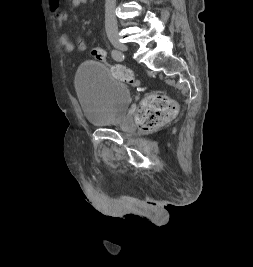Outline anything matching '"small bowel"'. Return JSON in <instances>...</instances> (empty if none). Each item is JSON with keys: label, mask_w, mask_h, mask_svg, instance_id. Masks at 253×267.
Masks as SVG:
<instances>
[{"label": "small bowel", "mask_w": 253, "mask_h": 267, "mask_svg": "<svg viewBox=\"0 0 253 267\" xmlns=\"http://www.w3.org/2000/svg\"><path fill=\"white\" fill-rule=\"evenodd\" d=\"M73 7L79 8L86 4L87 0H70ZM51 16L54 20L61 22L64 19V12L60 7V0H48ZM58 41L61 47L66 52H73L75 50V44L70 39L69 35L61 31L58 36Z\"/></svg>", "instance_id": "c3829d8e"}]
</instances>
